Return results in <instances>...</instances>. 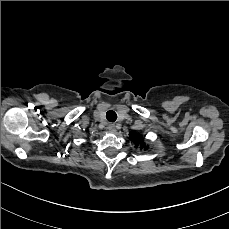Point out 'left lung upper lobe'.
I'll return each instance as SVG.
<instances>
[{"label":"left lung upper lobe","mask_w":229,"mask_h":229,"mask_svg":"<svg viewBox=\"0 0 229 229\" xmlns=\"http://www.w3.org/2000/svg\"><path fill=\"white\" fill-rule=\"evenodd\" d=\"M129 136L130 139L134 141L136 146H140L141 148H144V150L148 149V146L145 145L144 138L142 135L136 132H131Z\"/></svg>","instance_id":"5c2ea615"}]
</instances>
